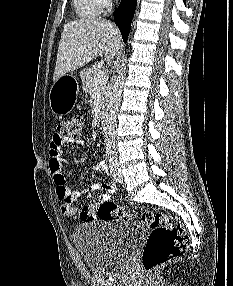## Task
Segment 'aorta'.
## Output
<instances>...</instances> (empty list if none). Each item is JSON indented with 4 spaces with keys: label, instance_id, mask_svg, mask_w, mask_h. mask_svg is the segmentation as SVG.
<instances>
[{
    "label": "aorta",
    "instance_id": "aorta-1",
    "mask_svg": "<svg viewBox=\"0 0 233 286\" xmlns=\"http://www.w3.org/2000/svg\"><path fill=\"white\" fill-rule=\"evenodd\" d=\"M126 62H127V58L125 57L122 60V63L120 64L117 70V76L114 80V85L112 88L109 103H108V106H107V109L104 115V120H103V129L105 132V138L108 142H111V143L115 141L116 114L120 106L121 97H122V88H123L125 76H126Z\"/></svg>",
    "mask_w": 233,
    "mask_h": 286
}]
</instances>
